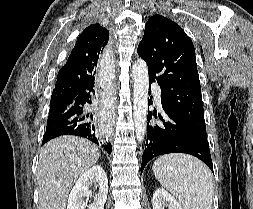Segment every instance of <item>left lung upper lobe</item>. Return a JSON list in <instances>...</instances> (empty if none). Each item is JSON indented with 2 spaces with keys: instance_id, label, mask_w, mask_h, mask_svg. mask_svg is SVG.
I'll return each mask as SVG.
<instances>
[{
  "instance_id": "5c2ea615",
  "label": "left lung upper lobe",
  "mask_w": 253,
  "mask_h": 209,
  "mask_svg": "<svg viewBox=\"0 0 253 209\" xmlns=\"http://www.w3.org/2000/svg\"><path fill=\"white\" fill-rule=\"evenodd\" d=\"M138 54L148 65L149 79L161 88L162 106L206 136L195 49L183 29L170 19L153 15L146 23Z\"/></svg>"
}]
</instances>
